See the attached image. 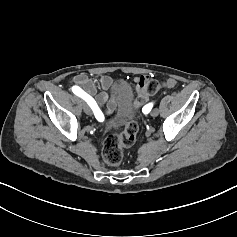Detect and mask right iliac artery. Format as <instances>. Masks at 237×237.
Here are the masks:
<instances>
[{"label":"right iliac artery","instance_id":"right-iliac-artery-1","mask_svg":"<svg viewBox=\"0 0 237 237\" xmlns=\"http://www.w3.org/2000/svg\"><path fill=\"white\" fill-rule=\"evenodd\" d=\"M72 91L75 95L81 97L83 100H85L88 103V105L93 110L96 119H98L97 118L98 115L103 117V114L102 113L100 114V111L97 110L99 108H98L95 100L90 95H88L86 92H84L79 86H73Z\"/></svg>","mask_w":237,"mask_h":237}]
</instances>
